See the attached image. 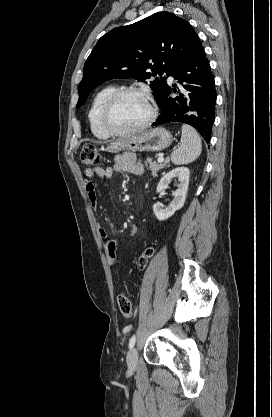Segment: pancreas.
Here are the masks:
<instances>
[{"label":"pancreas","mask_w":272,"mask_h":417,"mask_svg":"<svg viewBox=\"0 0 272 417\" xmlns=\"http://www.w3.org/2000/svg\"><path fill=\"white\" fill-rule=\"evenodd\" d=\"M166 165H168V161L164 163H160V164L155 161H152V159L150 158H147V160L145 161V166L148 167V169L152 172V174H156L157 171L165 168Z\"/></svg>","instance_id":"obj_1"}]
</instances>
